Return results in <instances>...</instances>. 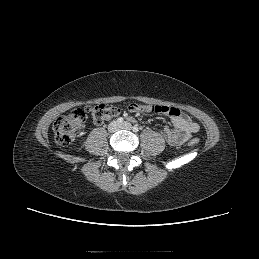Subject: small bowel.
I'll list each match as a JSON object with an SVG mask.
<instances>
[{"label":"small bowel","instance_id":"obj_1","mask_svg":"<svg viewBox=\"0 0 259 259\" xmlns=\"http://www.w3.org/2000/svg\"><path fill=\"white\" fill-rule=\"evenodd\" d=\"M127 108L132 112L142 114L163 113L168 115L172 123V128L165 127L162 130V135L169 144L174 146L184 144L191 136L200 130L198 123L194 122L188 115L175 107L130 102Z\"/></svg>","mask_w":259,"mask_h":259}]
</instances>
